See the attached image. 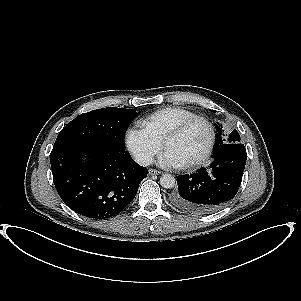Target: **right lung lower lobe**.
Segmentation results:
<instances>
[{
  "label": "right lung lower lobe",
  "mask_w": 301,
  "mask_h": 301,
  "mask_svg": "<svg viewBox=\"0 0 301 301\" xmlns=\"http://www.w3.org/2000/svg\"><path fill=\"white\" fill-rule=\"evenodd\" d=\"M82 155L89 160L83 162ZM50 162L61 199L93 219H107L125 209L148 172L124 148L98 140L54 145Z\"/></svg>",
  "instance_id": "obj_1"
}]
</instances>
